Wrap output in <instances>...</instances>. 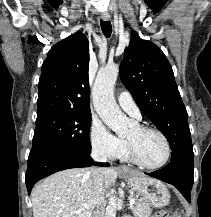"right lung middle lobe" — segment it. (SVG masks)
I'll return each mask as SVG.
<instances>
[{"mask_svg":"<svg viewBox=\"0 0 211 217\" xmlns=\"http://www.w3.org/2000/svg\"><path fill=\"white\" fill-rule=\"evenodd\" d=\"M91 113H52L37 118L33 146H57L80 153H90Z\"/></svg>","mask_w":211,"mask_h":217,"instance_id":"right-lung-middle-lobe-1","label":"right lung middle lobe"}]
</instances>
